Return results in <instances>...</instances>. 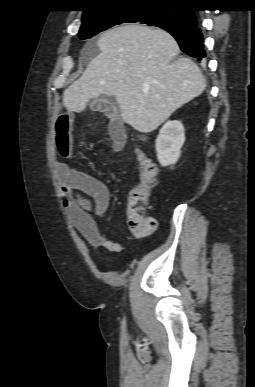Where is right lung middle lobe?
<instances>
[{
    "mask_svg": "<svg viewBox=\"0 0 255 387\" xmlns=\"http://www.w3.org/2000/svg\"><path fill=\"white\" fill-rule=\"evenodd\" d=\"M140 22L150 26L184 25L187 23L181 9H160L156 6H129L104 10L83 18L78 36L89 39L121 23Z\"/></svg>",
    "mask_w": 255,
    "mask_h": 387,
    "instance_id": "obj_1",
    "label": "right lung middle lobe"
}]
</instances>
